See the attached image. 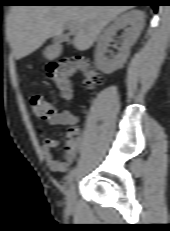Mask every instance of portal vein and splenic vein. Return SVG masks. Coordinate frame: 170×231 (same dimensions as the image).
I'll return each instance as SVG.
<instances>
[{
	"instance_id": "18ae733b",
	"label": "portal vein and splenic vein",
	"mask_w": 170,
	"mask_h": 231,
	"mask_svg": "<svg viewBox=\"0 0 170 231\" xmlns=\"http://www.w3.org/2000/svg\"><path fill=\"white\" fill-rule=\"evenodd\" d=\"M68 29H69V31H70L71 33H74V32H75V30H74L72 27H69V26H68Z\"/></svg>"
}]
</instances>
